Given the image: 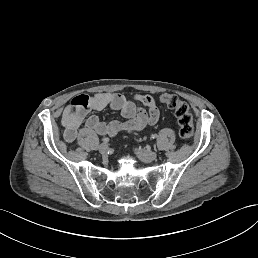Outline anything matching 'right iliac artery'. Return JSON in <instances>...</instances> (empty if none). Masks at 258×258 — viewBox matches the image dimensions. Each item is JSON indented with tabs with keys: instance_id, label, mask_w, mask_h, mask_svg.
Masks as SVG:
<instances>
[{
	"instance_id": "right-iliac-artery-1",
	"label": "right iliac artery",
	"mask_w": 258,
	"mask_h": 258,
	"mask_svg": "<svg viewBox=\"0 0 258 258\" xmlns=\"http://www.w3.org/2000/svg\"><path fill=\"white\" fill-rule=\"evenodd\" d=\"M103 142L104 143H108L109 142V138H103Z\"/></svg>"
}]
</instances>
